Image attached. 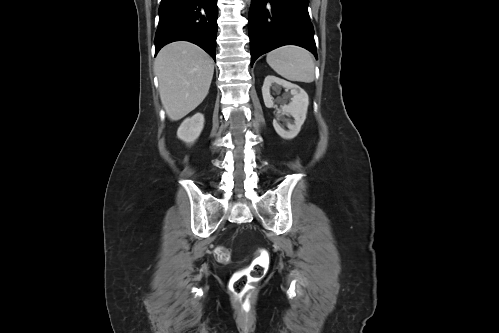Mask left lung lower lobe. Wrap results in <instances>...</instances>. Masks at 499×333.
Returning <instances> with one entry per match:
<instances>
[{
    "mask_svg": "<svg viewBox=\"0 0 499 333\" xmlns=\"http://www.w3.org/2000/svg\"><path fill=\"white\" fill-rule=\"evenodd\" d=\"M309 0H252L249 11L251 66L277 47L298 45L317 58Z\"/></svg>",
    "mask_w": 499,
    "mask_h": 333,
    "instance_id": "obj_1",
    "label": "left lung lower lobe"
}]
</instances>
